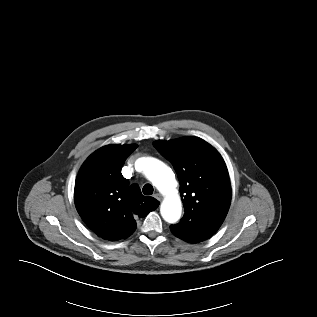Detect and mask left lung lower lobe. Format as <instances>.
<instances>
[{
    "instance_id": "left-lung-lower-lobe-1",
    "label": "left lung lower lobe",
    "mask_w": 317,
    "mask_h": 317,
    "mask_svg": "<svg viewBox=\"0 0 317 317\" xmlns=\"http://www.w3.org/2000/svg\"><path fill=\"white\" fill-rule=\"evenodd\" d=\"M222 223L200 220L193 221L185 227H179L176 225H171V232L178 238L189 242L198 243L209 239L221 226Z\"/></svg>"
}]
</instances>
